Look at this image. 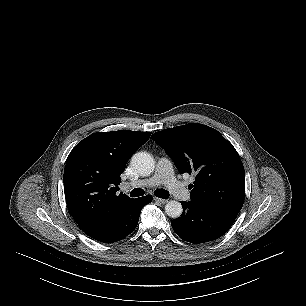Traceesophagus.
<instances>
[{
  "label": "esophagus",
  "mask_w": 306,
  "mask_h": 306,
  "mask_svg": "<svg viewBox=\"0 0 306 306\" xmlns=\"http://www.w3.org/2000/svg\"><path fill=\"white\" fill-rule=\"evenodd\" d=\"M153 199H154V201L159 202L161 204H165L168 201L167 199H162V198H159V197H154Z\"/></svg>",
  "instance_id": "1"
}]
</instances>
